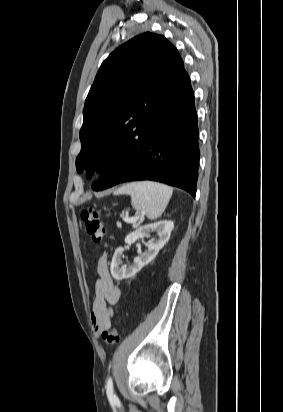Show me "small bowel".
<instances>
[{"label": "small bowel", "instance_id": "small-bowel-1", "mask_svg": "<svg viewBox=\"0 0 283 412\" xmlns=\"http://www.w3.org/2000/svg\"><path fill=\"white\" fill-rule=\"evenodd\" d=\"M97 272L98 279L95 284V298L90 318L94 333L99 336L104 329L110 326L111 306L118 302L121 293L110 276L104 257L99 260Z\"/></svg>", "mask_w": 283, "mask_h": 412}]
</instances>
